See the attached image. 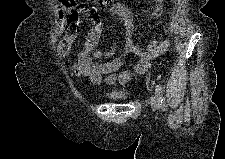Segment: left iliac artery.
Listing matches in <instances>:
<instances>
[{"instance_id":"44dca946","label":"left iliac artery","mask_w":225,"mask_h":159,"mask_svg":"<svg viewBox=\"0 0 225 159\" xmlns=\"http://www.w3.org/2000/svg\"><path fill=\"white\" fill-rule=\"evenodd\" d=\"M155 92H156L157 98L159 99V102H160L159 107H161V109L163 110L165 108V97L163 94L162 86L160 84L156 85Z\"/></svg>"}]
</instances>
